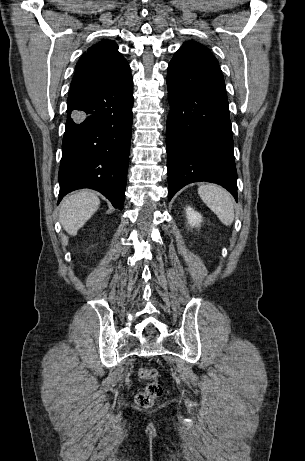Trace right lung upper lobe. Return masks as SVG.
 <instances>
[{
	"mask_svg": "<svg viewBox=\"0 0 305 461\" xmlns=\"http://www.w3.org/2000/svg\"><path fill=\"white\" fill-rule=\"evenodd\" d=\"M130 73V67L112 40L91 46L76 64L70 90L105 84Z\"/></svg>",
	"mask_w": 305,
	"mask_h": 461,
	"instance_id": "cb5924a9",
	"label": "right lung upper lobe"
}]
</instances>
